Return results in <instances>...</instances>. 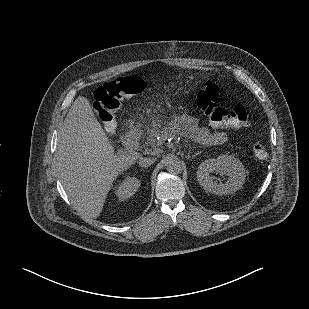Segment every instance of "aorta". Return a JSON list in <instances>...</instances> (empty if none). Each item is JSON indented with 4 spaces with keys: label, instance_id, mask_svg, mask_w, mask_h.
Instances as JSON below:
<instances>
[{
    "label": "aorta",
    "instance_id": "obj_1",
    "mask_svg": "<svg viewBox=\"0 0 309 309\" xmlns=\"http://www.w3.org/2000/svg\"><path fill=\"white\" fill-rule=\"evenodd\" d=\"M166 169L171 174H180L183 171V162L176 156L167 157Z\"/></svg>",
    "mask_w": 309,
    "mask_h": 309
}]
</instances>
